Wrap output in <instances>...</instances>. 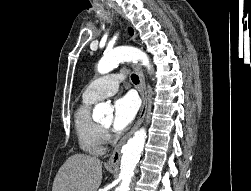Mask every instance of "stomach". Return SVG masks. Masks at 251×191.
<instances>
[{
  "label": "stomach",
  "mask_w": 251,
  "mask_h": 191,
  "mask_svg": "<svg viewBox=\"0 0 251 191\" xmlns=\"http://www.w3.org/2000/svg\"><path fill=\"white\" fill-rule=\"evenodd\" d=\"M108 169H112V167H110V165H107Z\"/></svg>",
  "instance_id": "1"
}]
</instances>
